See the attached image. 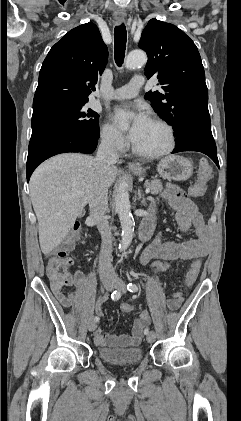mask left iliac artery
<instances>
[{
  "instance_id": "left-iliac-artery-1",
  "label": "left iliac artery",
  "mask_w": 241,
  "mask_h": 421,
  "mask_svg": "<svg viewBox=\"0 0 241 421\" xmlns=\"http://www.w3.org/2000/svg\"><path fill=\"white\" fill-rule=\"evenodd\" d=\"M127 289H128V291H130V292H137L138 291V287H137V285L136 284H134V283H128L127 284ZM144 333L147 335V334H149V329L148 328H146L145 330H144Z\"/></svg>"
}]
</instances>
